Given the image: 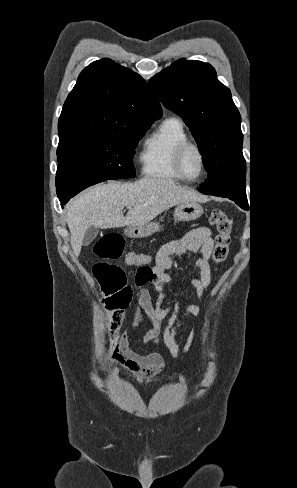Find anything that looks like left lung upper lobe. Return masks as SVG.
Listing matches in <instances>:
<instances>
[{"label": "left lung upper lobe", "instance_id": "left-lung-upper-lobe-1", "mask_svg": "<svg viewBox=\"0 0 297 488\" xmlns=\"http://www.w3.org/2000/svg\"><path fill=\"white\" fill-rule=\"evenodd\" d=\"M163 105L181 116L194 136L208 178L199 191L247 202L241 116L215 69L180 60L149 80Z\"/></svg>", "mask_w": 297, "mask_h": 488}]
</instances>
